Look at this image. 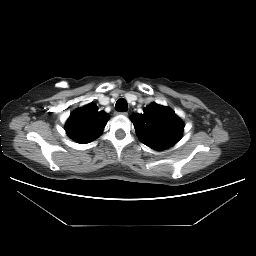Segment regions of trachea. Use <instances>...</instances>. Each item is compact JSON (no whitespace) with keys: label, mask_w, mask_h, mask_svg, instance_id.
Segmentation results:
<instances>
[{"label":"trachea","mask_w":256,"mask_h":256,"mask_svg":"<svg viewBox=\"0 0 256 256\" xmlns=\"http://www.w3.org/2000/svg\"><path fill=\"white\" fill-rule=\"evenodd\" d=\"M115 110L118 111V112L128 111L127 101L123 98L118 99L116 104H115Z\"/></svg>","instance_id":"1"}]
</instances>
